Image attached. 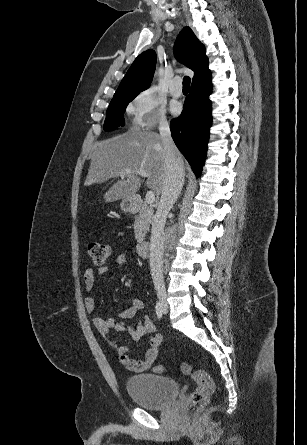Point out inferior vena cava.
Listing matches in <instances>:
<instances>
[{
    "mask_svg": "<svg viewBox=\"0 0 307 445\" xmlns=\"http://www.w3.org/2000/svg\"><path fill=\"white\" fill-rule=\"evenodd\" d=\"M159 132L164 144L165 164L162 196L152 223L149 263L151 275L158 297H166L163 281V253H164V227L169 210L177 200L185 178L183 158L171 136L170 126L166 116L159 120Z\"/></svg>",
    "mask_w": 307,
    "mask_h": 445,
    "instance_id": "obj_1",
    "label": "inferior vena cava"
}]
</instances>
